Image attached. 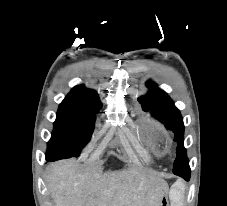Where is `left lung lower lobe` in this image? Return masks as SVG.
<instances>
[{
	"instance_id": "obj_1",
	"label": "left lung lower lobe",
	"mask_w": 227,
	"mask_h": 206,
	"mask_svg": "<svg viewBox=\"0 0 227 206\" xmlns=\"http://www.w3.org/2000/svg\"><path fill=\"white\" fill-rule=\"evenodd\" d=\"M173 173L184 178L186 181L190 179V170L175 171Z\"/></svg>"
}]
</instances>
